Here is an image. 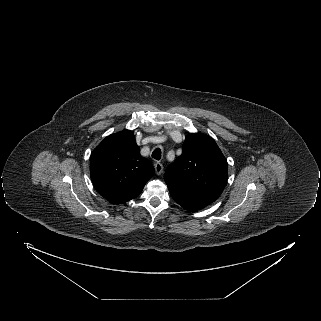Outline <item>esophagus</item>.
<instances>
[{
  "mask_svg": "<svg viewBox=\"0 0 321 321\" xmlns=\"http://www.w3.org/2000/svg\"><path fill=\"white\" fill-rule=\"evenodd\" d=\"M155 172L157 175H161L163 172V165L160 162L154 164Z\"/></svg>",
  "mask_w": 321,
  "mask_h": 321,
  "instance_id": "obj_1",
  "label": "esophagus"
}]
</instances>
